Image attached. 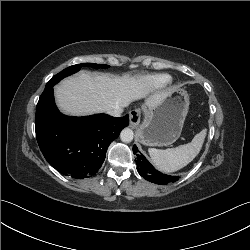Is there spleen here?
Returning a JSON list of instances; mask_svg holds the SVG:
<instances>
[{"instance_id": "spleen-1", "label": "spleen", "mask_w": 250, "mask_h": 250, "mask_svg": "<svg viewBox=\"0 0 250 250\" xmlns=\"http://www.w3.org/2000/svg\"><path fill=\"white\" fill-rule=\"evenodd\" d=\"M206 129L194 136L190 143L170 149L148 150L152 162L162 172L171 173L178 171L189 164L200 152L206 137Z\"/></svg>"}]
</instances>
